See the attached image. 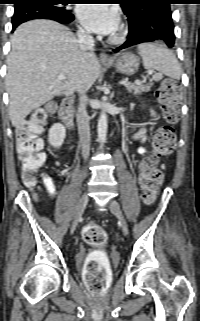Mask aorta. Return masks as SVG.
<instances>
[{"label": "aorta", "instance_id": "762f6f07", "mask_svg": "<svg viewBox=\"0 0 200 321\" xmlns=\"http://www.w3.org/2000/svg\"><path fill=\"white\" fill-rule=\"evenodd\" d=\"M107 128H108L107 115L105 111H102L98 120V125H97V133H98V139L100 143H104L106 140Z\"/></svg>", "mask_w": 200, "mask_h": 321}]
</instances>
